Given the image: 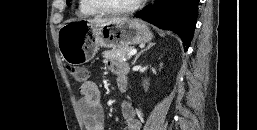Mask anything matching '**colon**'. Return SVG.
Wrapping results in <instances>:
<instances>
[{
	"instance_id": "5ec220e1",
	"label": "colon",
	"mask_w": 257,
	"mask_h": 130,
	"mask_svg": "<svg viewBox=\"0 0 257 130\" xmlns=\"http://www.w3.org/2000/svg\"><path fill=\"white\" fill-rule=\"evenodd\" d=\"M67 69H68L69 74L78 83H84L88 78V72L83 67L69 66Z\"/></svg>"
}]
</instances>
